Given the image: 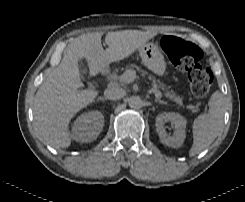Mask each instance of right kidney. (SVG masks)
Segmentation results:
<instances>
[{
  "mask_svg": "<svg viewBox=\"0 0 245 202\" xmlns=\"http://www.w3.org/2000/svg\"><path fill=\"white\" fill-rule=\"evenodd\" d=\"M104 126V115L91 111L80 115L73 124L71 137L81 143L96 140Z\"/></svg>",
  "mask_w": 245,
  "mask_h": 202,
  "instance_id": "obj_1",
  "label": "right kidney"
}]
</instances>
